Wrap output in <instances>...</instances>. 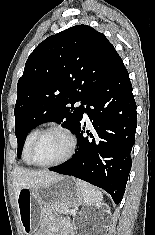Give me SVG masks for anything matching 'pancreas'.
I'll return each mask as SVG.
<instances>
[{"label":"pancreas","instance_id":"pancreas-1","mask_svg":"<svg viewBox=\"0 0 155 235\" xmlns=\"http://www.w3.org/2000/svg\"><path fill=\"white\" fill-rule=\"evenodd\" d=\"M57 211H59V212H62V213H64V214H70V210L69 209H67V208H58L57 209Z\"/></svg>","mask_w":155,"mask_h":235}]
</instances>
